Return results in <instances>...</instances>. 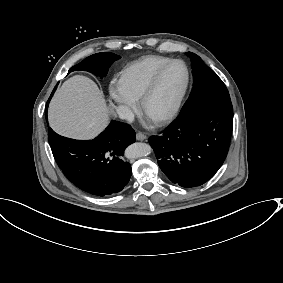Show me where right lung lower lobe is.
Segmentation results:
<instances>
[{"instance_id":"right-lung-lower-lobe-1","label":"right lung lower lobe","mask_w":283,"mask_h":283,"mask_svg":"<svg viewBox=\"0 0 283 283\" xmlns=\"http://www.w3.org/2000/svg\"><path fill=\"white\" fill-rule=\"evenodd\" d=\"M55 89L46 104V118ZM135 140L130 125L114 120L89 141L69 139L49 128V144L59 168L75 186L97 196L118 193L127 185L131 165L122 158L126 147Z\"/></svg>"}]
</instances>
